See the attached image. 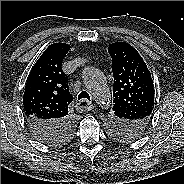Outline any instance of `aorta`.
Wrapping results in <instances>:
<instances>
[{"label": "aorta", "instance_id": "762f6f07", "mask_svg": "<svg viewBox=\"0 0 184 184\" xmlns=\"http://www.w3.org/2000/svg\"><path fill=\"white\" fill-rule=\"evenodd\" d=\"M85 87L93 99L101 107H106L111 102V95L104 74L95 67H86L82 72Z\"/></svg>", "mask_w": 184, "mask_h": 184}]
</instances>
